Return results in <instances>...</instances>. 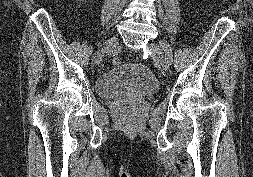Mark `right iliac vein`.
Here are the masks:
<instances>
[{
  "instance_id": "63e3f726",
  "label": "right iliac vein",
  "mask_w": 253,
  "mask_h": 177,
  "mask_svg": "<svg viewBox=\"0 0 253 177\" xmlns=\"http://www.w3.org/2000/svg\"><path fill=\"white\" fill-rule=\"evenodd\" d=\"M118 43L119 40L117 37H111L110 39H108L105 43L104 48L100 52H97V54L93 57V62L98 63L103 54L117 47Z\"/></svg>"
}]
</instances>
